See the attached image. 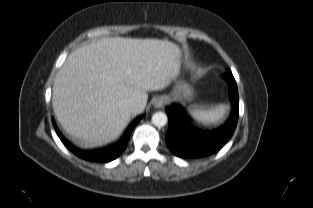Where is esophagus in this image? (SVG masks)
<instances>
[{"instance_id":"obj_1","label":"esophagus","mask_w":313,"mask_h":208,"mask_svg":"<svg viewBox=\"0 0 313 208\" xmlns=\"http://www.w3.org/2000/svg\"><path fill=\"white\" fill-rule=\"evenodd\" d=\"M164 103H165L164 97H157L153 100V106L156 108L162 107Z\"/></svg>"}]
</instances>
